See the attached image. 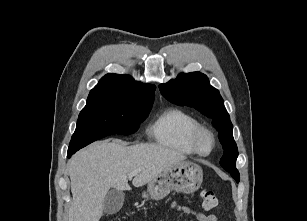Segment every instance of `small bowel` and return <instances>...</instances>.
Returning a JSON list of instances; mask_svg holds the SVG:
<instances>
[{
  "instance_id": "1",
  "label": "small bowel",
  "mask_w": 307,
  "mask_h": 221,
  "mask_svg": "<svg viewBox=\"0 0 307 221\" xmlns=\"http://www.w3.org/2000/svg\"><path fill=\"white\" fill-rule=\"evenodd\" d=\"M171 208L181 214L192 215L197 221H218L216 215H205L201 211L194 210L191 207L181 205L179 203H172Z\"/></svg>"
}]
</instances>
